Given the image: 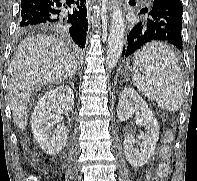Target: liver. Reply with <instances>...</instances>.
Listing matches in <instances>:
<instances>
[{
  "label": "liver",
  "mask_w": 197,
  "mask_h": 181,
  "mask_svg": "<svg viewBox=\"0 0 197 181\" xmlns=\"http://www.w3.org/2000/svg\"><path fill=\"white\" fill-rule=\"evenodd\" d=\"M77 61L64 42L53 36L37 35L22 41L8 67V99L13 122L24 130L27 104L38 86L60 83L77 71Z\"/></svg>",
  "instance_id": "obj_1"
}]
</instances>
